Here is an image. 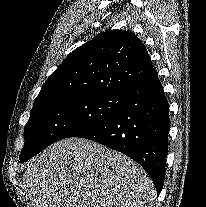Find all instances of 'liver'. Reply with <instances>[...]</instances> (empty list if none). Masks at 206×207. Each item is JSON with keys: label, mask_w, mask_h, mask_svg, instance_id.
Returning a JSON list of instances; mask_svg holds the SVG:
<instances>
[{"label": "liver", "mask_w": 206, "mask_h": 207, "mask_svg": "<svg viewBox=\"0 0 206 207\" xmlns=\"http://www.w3.org/2000/svg\"><path fill=\"white\" fill-rule=\"evenodd\" d=\"M34 207H152L155 187L136 162L83 138L60 140L23 174Z\"/></svg>", "instance_id": "liver-1"}]
</instances>
